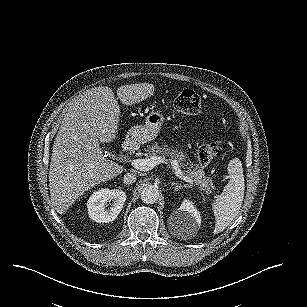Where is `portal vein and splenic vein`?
I'll use <instances>...</instances> for the list:
<instances>
[{
  "label": "portal vein and splenic vein",
  "mask_w": 307,
  "mask_h": 307,
  "mask_svg": "<svg viewBox=\"0 0 307 307\" xmlns=\"http://www.w3.org/2000/svg\"><path fill=\"white\" fill-rule=\"evenodd\" d=\"M160 164H166L167 168H171L174 170V173L176 176H178L180 179L191 182L190 178H188L185 175H182L180 166L178 163H174L173 165L168 161L167 158L159 155L150 156L148 159H137L133 160V166L136 169L142 170V171H149L154 168H156Z\"/></svg>",
  "instance_id": "portal-vein-and-splenic-vein-1"
}]
</instances>
